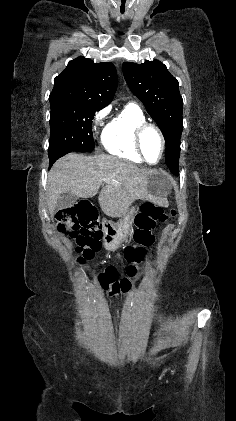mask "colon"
Returning a JSON list of instances; mask_svg holds the SVG:
<instances>
[{
	"label": "colon",
	"mask_w": 236,
	"mask_h": 421,
	"mask_svg": "<svg viewBox=\"0 0 236 421\" xmlns=\"http://www.w3.org/2000/svg\"><path fill=\"white\" fill-rule=\"evenodd\" d=\"M175 214V210L167 213L162 207L151 202L142 204L135 219L137 227L134 235L135 242L125 249V258L130 263L127 276L120 278L113 266L105 267L99 274L101 286L108 290L110 295L129 292L132 280L139 274L137 264L143 260L145 249L154 242L151 231L158 222H163ZM91 215L93 212H89L86 205L63 209L57 215L59 230L68 232L78 243L76 252L80 262L91 258L101 246L102 225L96 217Z\"/></svg>",
	"instance_id": "colon-1"
}]
</instances>
